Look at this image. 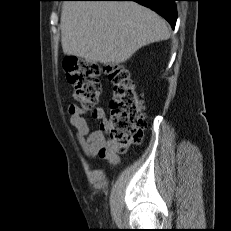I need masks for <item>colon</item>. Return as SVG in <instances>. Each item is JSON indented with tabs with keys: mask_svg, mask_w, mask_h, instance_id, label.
Listing matches in <instances>:
<instances>
[{
	"mask_svg": "<svg viewBox=\"0 0 231 231\" xmlns=\"http://www.w3.org/2000/svg\"><path fill=\"white\" fill-rule=\"evenodd\" d=\"M63 67L73 84L74 97L81 106L91 108L96 105L101 96L100 68L75 56L66 57ZM108 74L114 86L110 102V138L117 150L124 151L143 136L146 126L144 104L124 66H111Z\"/></svg>",
	"mask_w": 231,
	"mask_h": 231,
	"instance_id": "colon-1",
	"label": "colon"
}]
</instances>
